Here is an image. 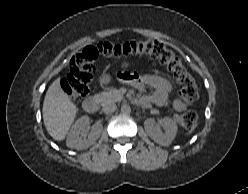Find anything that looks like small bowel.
Instances as JSON below:
<instances>
[{
	"instance_id": "1",
	"label": "small bowel",
	"mask_w": 248,
	"mask_h": 194,
	"mask_svg": "<svg viewBox=\"0 0 248 194\" xmlns=\"http://www.w3.org/2000/svg\"><path fill=\"white\" fill-rule=\"evenodd\" d=\"M128 83L140 92H145L147 88H152L154 91L150 94H145L139 99L142 106L155 104L157 106H165L171 102L172 107L176 111H184L185 104L177 98L171 100L173 92L172 84L164 77L157 74H130Z\"/></svg>"
}]
</instances>
